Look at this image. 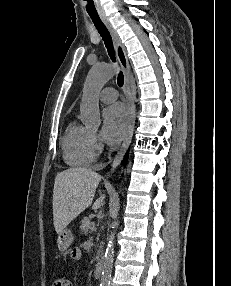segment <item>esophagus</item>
<instances>
[{
  "mask_svg": "<svg viewBox=\"0 0 231 286\" xmlns=\"http://www.w3.org/2000/svg\"><path fill=\"white\" fill-rule=\"evenodd\" d=\"M100 18L112 35L114 45H115L116 55H117L118 61L121 65L123 73H124V93L126 96V104H127V108H128V115H129L128 128H127L126 134L124 136V140L121 144V147H120L119 151L117 152V154L113 160L112 169H111V172H112V170L121 162V160H122V158H123V156H124V154L128 148V145L130 143V140H131V137L133 134V130H134L136 109H135V106L133 104V101H132L131 95H130V86H129L130 66H129V61H128L127 55H126V51L124 49V46L121 42V39H120L116 29L113 27V25L111 24L108 17L106 15L102 14V15H100ZM108 176H110V174H108Z\"/></svg>",
  "mask_w": 231,
  "mask_h": 286,
  "instance_id": "1",
  "label": "esophagus"
}]
</instances>
